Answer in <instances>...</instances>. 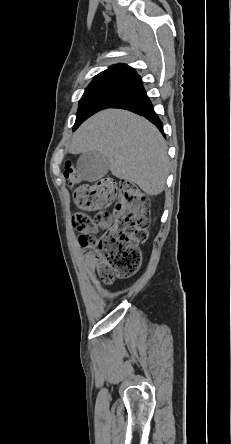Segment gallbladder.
<instances>
[{
  "label": "gallbladder",
  "mask_w": 231,
  "mask_h": 444,
  "mask_svg": "<svg viewBox=\"0 0 231 444\" xmlns=\"http://www.w3.org/2000/svg\"><path fill=\"white\" fill-rule=\"evenodd\" d=\"M109 165L105 155L98 151H88L79 157L77 171L84 180L93 182L107 174Z\"/></svg>",
  "instance_id": "bac80fb5"
}]
</instances>
